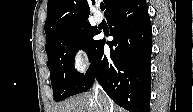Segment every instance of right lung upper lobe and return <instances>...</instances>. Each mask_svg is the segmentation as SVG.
Returning a JSON list of instances; mask_svg holds the SVG:
<instances>
[{"label":"right lung upper lobe","mask_w":193,"mask_h":112,"mask_svg":"<svg viewBox=\"0 0 193 112\" xmlns=\"http://www.w3.org/2000/svg\"><path fill=\"white\" fill-rule=\"evenodd\" d=\"M128 0H103L108 18ZM95 0H48V15L45 22L47 42L65 29L90 24L88 17L89 6L94 5Z\"/></svg>","instance_id":"1"}]
</instances>
